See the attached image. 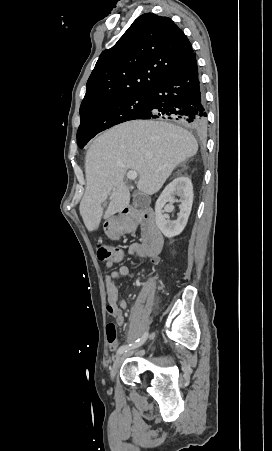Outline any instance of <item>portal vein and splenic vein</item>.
I'll return each instance as SVG.
<instances>
[{"label": "portal vein and splenic vein", "instance_id": "obj_1", "mask_svg": "<svg viewBox=\"0 0 272 451\" xmlns=\"http://www.w3.org/2000/svg\"><path fill=\"white\" fill-rule=\"evenodd\" d=\"M138 174L136 172V170H129L128 174H127V178L128 180H136ZM113 190H115V188H113Z\"/></svg>", "mask_w": 272, "mask_h": 451}]
</instances>
